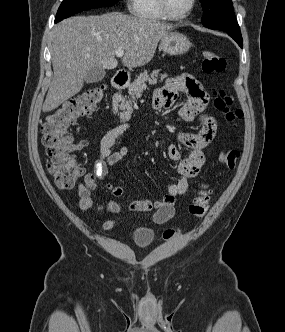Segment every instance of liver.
I'll list each match as a JSON object with an SVG mask.
<instances>
[{
	"instance_id": "liver-1",
	"label": "liver",
	"mask_w": 285,
	"mask_h": 332,
	"mask_svg": "<svg viewBox=\"0 0 285 332\" xmlns=\"http://www.w3.org/2000/svg\"><path fill=\"white\" fill-rule=\"evenodd\" d=\"M172 28L154 19L118 12L75 16L61 21L52 31L54 77L42 111L50 112L79 93L92 67L116 68L117 50L124 51L122 64L126 67L147 64L153 58L158 42Z\"/></svg>"
}]
</instances>
